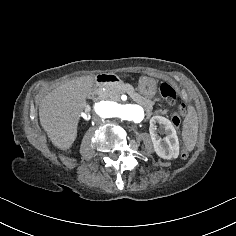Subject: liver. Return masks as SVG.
Instances as JSON below:
<instances>
[{"label":"liver","instance_id":"6515ba94","mask_svg":"<svg viewBox=\"0 0 236 236\" xmlns=\"http://www.w3.org/2000/svg\"><path fill=\"white\" fill-rule=\"evenodd\" d=\"M95 77L71 80L47 94L39 104V118L53 145L61 150L72 146L71 133L76 129L80 111L86 106Z\"/></svg>","mask_w":236,"mask_h":236}]
</instances>
